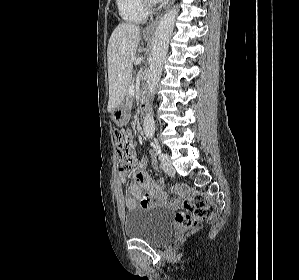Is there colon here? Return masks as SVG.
I'll use <instances>...</instances> for the list:
<instances>
[{
	"label": "colon",
	"mask_w": 299,
	"mask_h": 280,
	"mask_svg": "<svg viewBox=\"0 0 299 280\" xmlns=\"http://www.w3.org/2000/svg\"><path fill=\"white\" fill-rule=\"evenodd\" d=\"M115 141L119 158V176L124 180L134 167L133 149L129 143V133L115 131ZM216 209L206 204L198 194H192L185 202L184 209L175 214V221L183 228L196 227L214 217Z\"/></svg>",
	"instance_id": "obj_1"
}]
</instances>
